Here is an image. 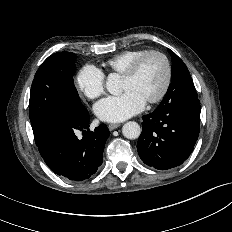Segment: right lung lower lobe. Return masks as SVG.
<instances>
[{
  "mask_svg": "<svg viewBox=\"0 0 232 232\" xmlns=\"http://www.w3.org/2000/svg\"><path fill=\"white\" fill-rule=\"evenodd\" d=\"M89 119L87 110L81 115L62 114L36 144L47 166L57 175L82 181L92 176L102 164L110 132L105 124L90 131ZM77 130L84 135L81 140L75 135Z\"/></svg>",
  "mask_w": 232,
  "mask_h": 232,
  "instance_id": "obj_1",
  "label": "right lung lower lobe"
}]
</instances>
